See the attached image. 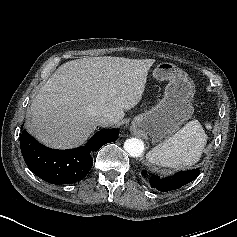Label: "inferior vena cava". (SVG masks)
Returning <instances> with one entry per match:
<instances>
[{"mask_svg":"<svg viewBox=\"0 0 237 237\" xmlns=\"http://www.w3.org/2000/svg\"><path fill=\"white\" fill-rule=\"evenodd\" d=\"M95 120L99 125L112 124L117 121L116 118L110 114L98 115L95 117Z\"/></svg>","mask_w":237,"mask_h":237,"instance_id":"1","label":"inferior vena cava"}]
</instances>
